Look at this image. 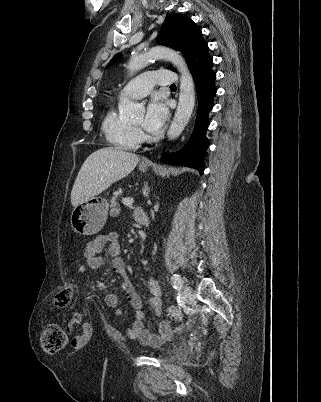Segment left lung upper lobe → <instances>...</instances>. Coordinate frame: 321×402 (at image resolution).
I'll list each match as a JSON object with an SVG mask.
<instances>
[{"label":"left lung upper lobe","instance_id":"1","mask_svg":"<svg viewBox=\"0 0 321 402\" xmlns=\"http://www.w3.org/2000/svg\"><path fill=\"white\" fill-rule=\"evenodd\" d=\"M204 42L200 28L189 17L178 13H172L165 18L157 38L158 44L180 51L187 63L195 50ZM120 56V54L115 55L109 65Z\"/></svg>","mask_w":321,"mask_h":402}]
</instances>
